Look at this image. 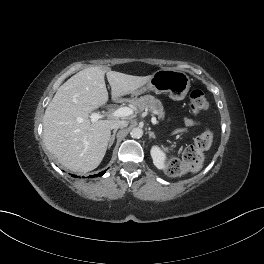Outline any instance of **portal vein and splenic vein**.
I'll return each instance as SVG.
<instances>
[{
  "mask_svg": "<svg viewBox=\"0 0 264 264\" xmlns=\"http://www.w3.org/2000/svg\"><path fill=\"white\" fill-rule=\"evenodd\" d=\"M133 114V109L132 108H129V107H121V108H118L117 110L107 114V115H103V114H100V113H91L90 114V118H91V121L94 123L96 121H98L99 119H102L104 117H109V118H119V117H127L129 115H132ZM152 121V124L153 125H156L157 124V120L155 117H153L151 119Z\"/></svg>",
  "mask_w": 264,
  "mask_h": 264,
  "instance_id": "obj_1",
  "label": "portal vein and splenic vein"
}]
</instances>
